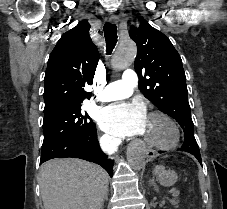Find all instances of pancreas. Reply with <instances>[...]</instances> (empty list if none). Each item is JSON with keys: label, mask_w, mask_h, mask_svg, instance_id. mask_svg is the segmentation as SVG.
<instances>
[{"label": "pancreas", "mask_w": 227, "mask_h": 209, "mask_svg": "<svg viewBox=\"0 0 227 209\" xmlns=\"http://www.w3.org/2000/svg\"><path fill=\"white\" fill-rule=\"evenodd\" d=\"M178 195V194H177ZM171 204H175L176 203V200L175 199H171L170 201H169ZM172 209H176L175 207H173Z\"/></svg>", "instance_id": "cf45deb5"}]
</instances>
